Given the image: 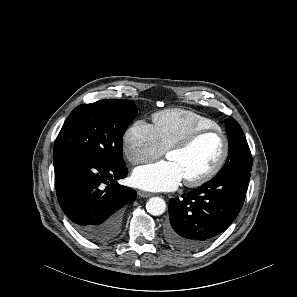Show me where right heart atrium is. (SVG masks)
<instances>
[{"label":"right heart atrium","mask_w":297,"mask_h":297,"mask_svg":"<svg viewBox=\"0 0 297 297\" xmlns=\"http://www.w3.org/2000/svg\"><path fill=\"white\" fill-rule=\"evenodd\" d=\"M122 148L131 164L137 165L161 156L165 149L160 145L152 124L138 120L123 135Z\"/></svg>","instance_id":"d8ad5b80"}]
</instances>
